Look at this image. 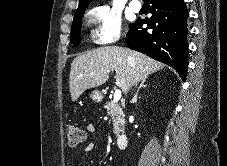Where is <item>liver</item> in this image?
<instances>
[{
  "label": "liver",
  "mask_w": 227,
  "mask_h": 166,
  "mask_svg": "<svg viewBox=\"0 0 227 166\" xmlns=\"http://www.w3.org/2000/svg\"><path fill=\"white\" fill-rule=\"evenodd\" d=\"M164 64L129 48L99 47L77 56L70 70V94L76 101L87 89L103 85L109 71H115V84L124 94L132 85L163 69Z\"/></svg>",
  "instance_id": "obj_1"
}]
</instances>
